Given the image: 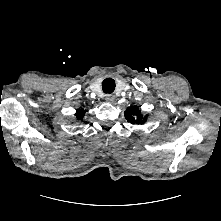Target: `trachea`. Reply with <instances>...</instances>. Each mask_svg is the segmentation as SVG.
<instances>
[{"mask_svg": "<svg viewBox=\"0 0 221 221\" xmlns=\"http://www.w3.org/2000/svg\"><path fill=\"white\" fill-rule=\"evenodd\" d=\"M104 93H112L115 89V81L112 78H106L102 83Z\"/></svg>", "mask_w": 221, "mask_h": 221, "instance_id": "3493384b", "label": "trachea"}]
</instances>
